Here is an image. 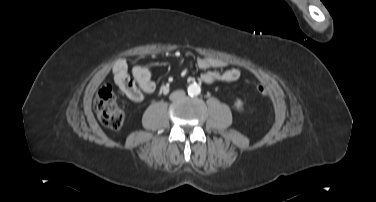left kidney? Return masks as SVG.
<instances>
[{
    "label": "left kidney",
    "mask_w": 376,
    "mask_h": 202,
    "mask_svg": "<svg viewBox=\"0 0 376 202\" xmlns=\"http://www.w3.org/2000/svg\"><path fill=\"white\" fill-rule=\"evenodd\" d=\"M235 105H236L237 108L241 109L242 106H243V102L240 99H237Z\"/></svg>",
    "instance_id": "5707ae66"
}]
</instances>
